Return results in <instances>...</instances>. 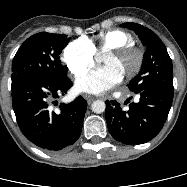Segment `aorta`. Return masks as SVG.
Segmentation results:
<instances>
[{"label": "aorta", "mask_w": 187, "mask_h": 187, "mask_svg": "<svg viewBox=\"0 0 187 187\" xmlns=\"http://www.w3.org/2000/svg\"><path fill=\"white\" fill-rule=\"evenodd\" d=\"M91 108L94 113L100 114L105 111L106 105L104 101L96 100L92 103Z\"/></svg>", "instance_id": "obj_1"}]
</instances>
